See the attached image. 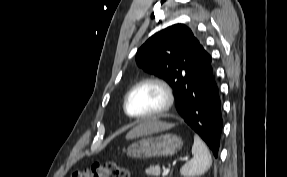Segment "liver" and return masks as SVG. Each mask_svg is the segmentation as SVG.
Returning <instances> with one entry per match:
<instances>
[{
    "label": "liver",
    "instance_id": "1",
    "mask_svg": "<svg viewBox=\"0 0 287 177\" xmlns=\"http://www.w3.org/2000/svg\"><path fill=\"white\" fill-rule=\"evenodd\" d=\"M172 124L159 122L157 120L145 121L135 128H133L127 135L126 139H132L145 134H151L154 132L166 130L172 128Z\"/></svg>",
    "mask_w": 287,
    "mask_h": 177
}]
</instances>
